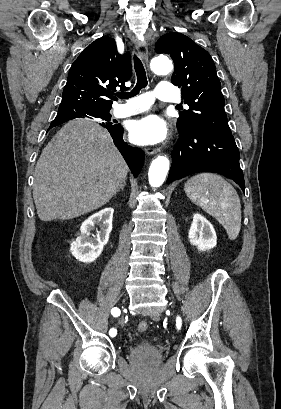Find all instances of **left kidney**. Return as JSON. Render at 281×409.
<instances>
[{
    "label": "left kidney",
    "instance_id": "obj_1",
    "mask_svg": "<svg viewBox=\"0 0 281 409\" xmlns=\"http://www.w3.org/2000/svg\"><path fill=\"white\" fill-rule=\"evenodd\" d=\"M189 239L191 245H195L199 251L213 249L217 245V237L213 225L196 213L193 217L192 225L189 229Z\"/></svg>",
    "mask_w": 281,
    "mask_h": 409
}]
</instances>
